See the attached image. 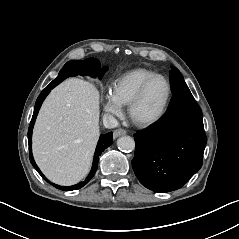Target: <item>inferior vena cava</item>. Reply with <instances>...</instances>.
I'll return each instance as SVG.
<instances>
[{"instance_id":"obj_1","label":"inferior vena cava","mask_w":239,"mask_h":239,"mask_svg":"<svg viewBox=\"0 0 239 239\" xmlns=\"http://www.w3.org/2000/svg\"><path fill=\"white\" fill-rule=\"evenodd\" d=\"M103 124L108 129H113L118 127V121L112 115L105 114L103 116Z\"/></svg>"}]
</instances>
